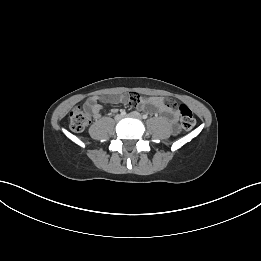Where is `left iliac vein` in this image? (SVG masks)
I'll list each match as a JSON object with an SVG mask.
<instances>
[{"instance_id": "4c4485c4", "label": "left iliac vein", "mask_w": 261, "mask_h": 261, "mask_svg": "<svg viewBox=\"0 0 261 261\" xmlns=\"http://www.w3.org/2000/svg\"><path fill=\"white\" fill-rule=\"evenodd\" d=\"M127 116H128V117H132V118H136V119H141V118H142L141 115H140V113H138V112H136V111L129 113Z\"/></svg>"}]
</instances>
